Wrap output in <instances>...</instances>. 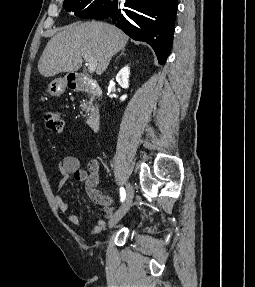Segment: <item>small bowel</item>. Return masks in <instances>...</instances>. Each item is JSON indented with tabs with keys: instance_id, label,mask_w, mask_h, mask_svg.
I'll return each mask as SVG.
<instances>
[{
	"instance_id": "obj_1",
	"label": "small bowel",
	"mask_w": 255,
	"mask_h": 287,
	"mask_svg": "<svg viewBox=\"0 0 255 287\" xmlns=\"http://www.w3.org/2000/svg\"><path fill=\"white\" fill-rule=\"evenodd\" d=\"M59 172L62 175L58 183V189L62 188L70 177L85 187L88 196L101 207V212L104 217L109 218L112 214L111 199L104 195L96 187L98 179L95 173V168L92 165L90 172L80 167L79 160L74 156H65L59 164ZM55 204L61 214L66 216L72 226L79 225V219L76 215L70 212L68 203L64 200L61 194L54 195ZM106 226L104 219H98L89 231V234L96 235L100 233Z\"/></svg>"
}]
</instances>
